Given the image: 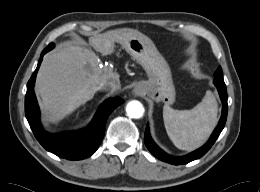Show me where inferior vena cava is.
I'll return each instance as SVG.
<instances>
[{
    "label": "inferior vena cava",
    "instance_id": "1",
    "mask_svg": "<svg viewBox=\"0 0 260 192\" xmlns=\"http://www.w3.org/2000/svg\"><path fill=\"white\" fill-rule=\"evenodd\" d=\"M100 88L103 90H110L114 92L120 88V81L119 79H110L101 83Z\"/></svg>",
    "mask_w": 260,
    "mask_h": 192
}]
</instances>
